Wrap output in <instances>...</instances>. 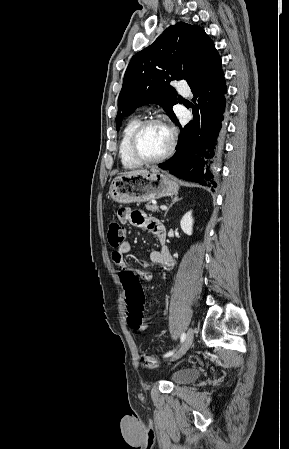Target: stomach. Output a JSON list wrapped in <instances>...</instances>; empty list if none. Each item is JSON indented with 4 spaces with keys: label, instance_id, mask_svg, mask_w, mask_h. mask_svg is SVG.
<instances>
[{
    "label": "stomach",
    "instance_id": "obj_1",
    "mask_svg": "<svg viewBox=\"0 0 289 449\" xmlns=\"http://www.w3.org/2000/svg\"><path fill=\"white\" fill-rule=\"evenodd\" d=\"M178 190L177 183L169 175L153 170L145 174L115 177L109 196L115 202L130 204L177 195Z\"/></svg>",
    "mask_w": 289,
    "mask_h": 449
}]
</instances>
